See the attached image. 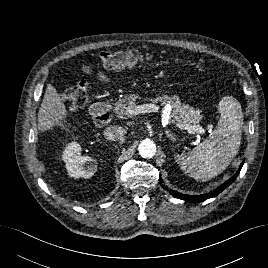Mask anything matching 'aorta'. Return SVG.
Instances as JSON below:
<instances>
[{
  "mask_svg": "<svg viewBox=\"0 0 268 268\" xmlns=\"http://www.w3.org/2000/svg\"><path fill=\"white\" fill-rule=\"evenodd\" d=\"M138 151L141 157L152 158L156 153V145L150 139H145L140 142Z\"/></svg>",
  "mask_w": 268,
  "mask_h": 268,
  "instance_id": "1",
  "label": "aorta"
}]
</instances>
